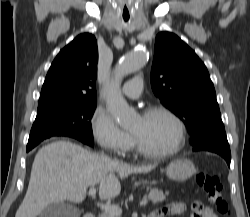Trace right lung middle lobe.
Instances as JSON below:
<instances>
[{
  "instance_id": "right-lung-middle-lobe-1",
  "label": "right lung middle lobe",
  "mask_w": 250,
  "mask_h": 217,
  "mask_svg": "<svg viewBox=\"0 0 250 217\" xmlns=\"http://www.w3.org/2000/svg\"><path fill=\"white\" fill-rule=\"evenodd\" d=\"M96 102L77 103L37 112L26 151L52 136H68L93 146L91 118Z\"/></svg>"
}]
</instances>
